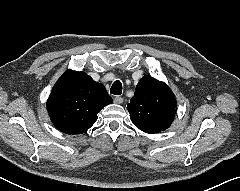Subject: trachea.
<instances>
[{
	"instance_id": "obj_1",
	"label": "trachea",
	"mask_w": 240,
	"mask_h": 191,
	"mask_svg": "<svg viewBox=\"0 0 240 191\" xmlns=\"http://www.w3.org/2000/svg\"><path fill=\"white\" fill-rule=\"evenodd\" d=\"M110 93L114 94V95H121L122 93V83L119 80H116L111 89H110Z\"/></svg>"
}]
</instances>
